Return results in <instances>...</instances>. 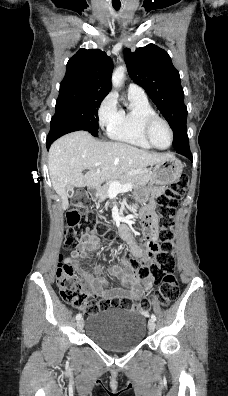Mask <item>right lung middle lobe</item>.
<instances>
[{
  "label": "right lung middle lobe",
  "instance_id": "right-lung-middle-lobe-1",
  "mask_svg": "<svg viewBox=\"0 0 228 396\" xmlns=\"http://www.w3.org/2000/svg\"><path fill=\"white\" fill-rule=\"evenodd\" d=\"M106 95L80 88H60L51 123H64L98 136V107Z\"/></svg>",
  "mask_w": 228,
  "mask_h": 396
}]
</instances>
